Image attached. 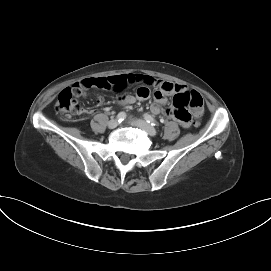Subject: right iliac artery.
<instances>
[{
  "label": "right iliac artery",
  "mask_w": 271,
  "mask_h": 271,
  "mask_svg": "<svg viewBox=\"0 0 271 271\" xmlns=\"http://www.w3.org/2000/svg\"><path fill=\"white\" fill-rule=\"evenodd\" d=\"M126 113L125 112H120L118 115H117V119L119 122H122L125 118H126Z\"/></svg>",
  "instance_id": "right-iliac-artery-1"
}]
</instances>
